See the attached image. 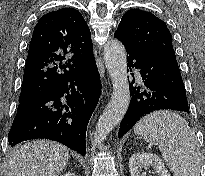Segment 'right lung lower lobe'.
I'll return each mask as SVG.
<instances>
[{
  "mask_svg": "<svg viewBox=\"0 0 205 176\" xmlns=\"http://www.w3.org/2000/svg\"><path fill=\"white\" fill-rule=\"evenodd\" d=\"M100 92L101 81L93 57L18 107L8 135L9 145L45 138L85 155L86 129ZM63 96L66 102L61 99Z\"/></svg>",
  "mask_w": 205,
  "mask_h": 176,
  "instance_id": "1",
  "label": "right lung lower lobe"
}]
</instances>
